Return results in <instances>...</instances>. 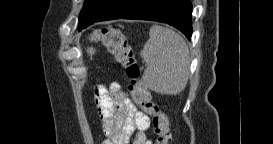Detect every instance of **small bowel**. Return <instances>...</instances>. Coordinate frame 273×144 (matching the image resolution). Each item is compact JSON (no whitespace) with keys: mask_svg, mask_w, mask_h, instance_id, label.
<instances>
[{"mask_svg":"<svg viewBox=\"0 0 273 144\" xmlns=\"http://www.w3.org/2000/svg\"><path fill=\"white\" fill-rule=\"evenodd\" d=\"M94 98L106 144H151L146 132L150 126L148 115L140 111L120 84L98 85Z\"/></svg>","mask_w":273,"mask_h":144,"instance_id":"c3829d8e","label":"small bowel"}]
</instances>
